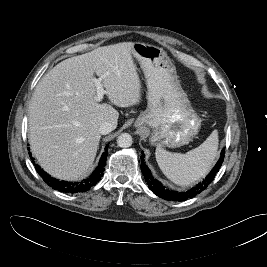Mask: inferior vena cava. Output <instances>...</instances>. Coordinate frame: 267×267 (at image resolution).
Instances as JSON below:
<instances>
[{
	"instance_id": "obj_1",
	"label": "inferior vena cava",
	"mask_w": 267,
	"mask_h": 267,
	"mask_svg": "<svg viewBox=\"0 0 267 267\" xmlns=\"http://www.w3.org/2000/svg\"><path fill=\"white\" fill-rule=\"evenodd\" d=\"M114 130L113 125L110 122H103L99 127V133L106 135Z\"/></svg>"
}]
</instances>
